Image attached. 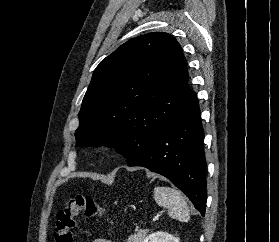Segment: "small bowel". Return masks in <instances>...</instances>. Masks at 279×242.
I'll list each match as a JSON object with an SVG mask.
<instances>
[{
	"label": "small bowel",
	"instance_id": "small-bowel-1",
	"mask_svg": "<svg viewBox=\"0 0 279 242\" xmlns=\"http://www.w3.org/2000/svg\"><path fill=\"white\" fill-rule=\"evenodd\" d=\"M92 242H112V241L103 239V238H97V239H94Z\"/></svg>",
	"mask_w": 279,
	"mask_h": 242
}]
</instances>
